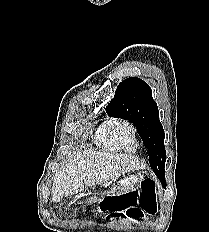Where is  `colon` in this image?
Masks as SVG:
<instances>
[{
  "mask_svg": "<svg viewBox=\"0 0 209 232\" xmlns=\"http://www.w3.org/2000/svg\"><path fill=\"white\" fill-rule=\"evenodd\" d=\"M99 205L101 211L111 212L115 218L129 216L140 219L153 216L158 212L156 185L152 180L144 179L136 189L126 191L117 197H114L113 193H108Z\"/></svg>",
  "mask_w": 209,
  "mask_h": 232,
  "instance_id": "1",
  "label": "colon"
}]
</instances>
